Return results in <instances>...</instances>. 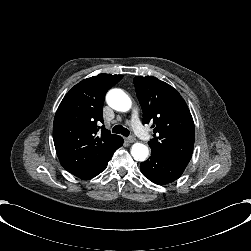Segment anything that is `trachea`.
Returning <instances> with one entry per match:
<instances>
[{"instance_id": "3493384b", "label": "trachea", "mask_w": 251, "mask_h": 251, "mask_svg": "<svg viewBox=\"0 0 251 251\" xmlns=\"http://www.w3.org/2000/svg\"><path fill=\"white\" fill-rule=\"evenodd\" d=\"M112 132L122 134L125 137L129 136V130L127 128L123 127L122 125L114 126L112 129Z\"/></svg>"}]
</instances>
